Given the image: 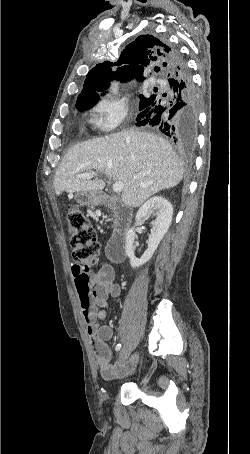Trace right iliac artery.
Segmentation results:
<instances>
[{
  "instance_id": "1",
  "label": "right iliac artery",
  "mask_w": 250,
  "mask_h": 454,
  "mask_svg": "<svg viewBox=\"0 0 250 454\" xmlns=\"http://www.w3.org/2000/svg\"><path fill=\"white\" fill-rule=\"evenodd\" d=\"M121 346H122V345H121L120 343L117 344L116 347H115V350H116V351H119V350L121 349Z\"/></svg>"
}]
</instances>
